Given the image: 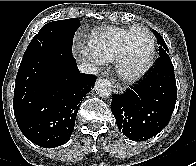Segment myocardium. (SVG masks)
Segmentation results:
<instances>
[{"label":"myocardium","instance_id":"1","mask_svg":"<svg viewBox=\"0 0 196 166\" xmlns=\"http://www.w3.org/2000/svg\"><path fill=\"white\" fill-rule=\"evenodd\" d=\"M145 32L150 39V51L146 61L138 68L129 70L126 67L127 58L130 52V41L137 32ZM156 56V41L153 33L145 27L133 28L124 40L122 50L115 60V68L119 77L127 81H134L144 76L153 66Z\"/></svg>","mask_w":196,"mask_h":166}]
</instances>
